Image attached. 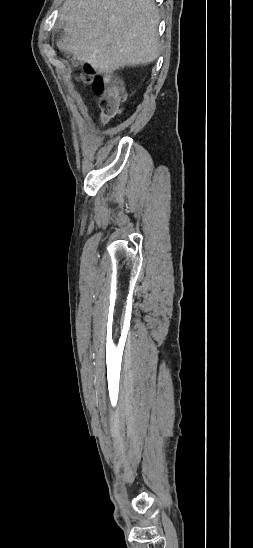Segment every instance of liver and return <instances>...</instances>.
I'll return each instance as SVG.
<instances>
[{"label": "liver", "instance_id": "liver-1", "mask_svg": "<svg viewBox=\"0 0 253 548\" xmlns=\"http://www.w3.org/2000/svg\"><path fill=\"white\" fill-rule=\"evenodd\" d=\"M63 49L98 73L153 62L160 16L153 0H65Z\"/></svg>", "mask_w": 253, "mask_h": 548}]
</instances>
